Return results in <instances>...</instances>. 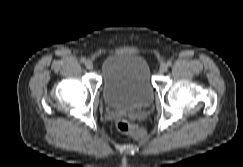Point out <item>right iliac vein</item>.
Instances as JSON below:
<instances>
[{"label": "right iliac vein", "mask_w": 243, "mask_h": 167, "mask_svg": "<svg viewBox=\"0 0 243 167\" xmlns=\"http://www.w3.org/2000/svg\"><path fill=\"white\" fill-rule=\"evenodd\" d=\"M85 66L89 70L93 69V63H92V61H90V60L86 61L85 62Z\"/></svg>", "instance_id": "63e3f726"}]
</instances>
